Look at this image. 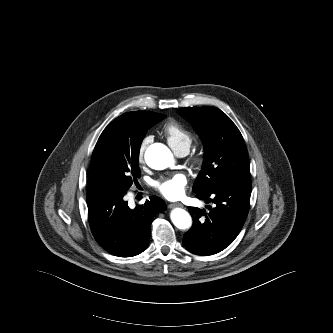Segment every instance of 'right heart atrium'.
<instances>
[{
	"label": "right heart atrium",
	"mask_w": 333,
	"mask_h": 333,
	"mask_svg": "<svg viewBox=\"0 0 333 333\" xmlns=\"http://www.w3.org/2000/svg\"><path fill=\"white\" fill-rule=\"evenodd\" d=\"M151 140H152L151 136H146L140 142V145H139V148H138L139 161H143L146 148L149 145V143L151 142Z\"/></svg>",
	"instance_id": "right-heart-atrium-1"
}]
</instances>
